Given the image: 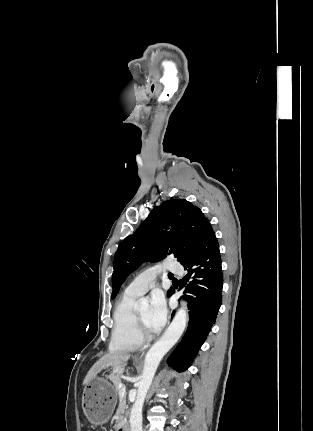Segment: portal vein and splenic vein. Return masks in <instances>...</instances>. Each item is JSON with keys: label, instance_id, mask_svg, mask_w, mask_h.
<instances>
[{"label": "portal vein and splenic vein", "instance_id": "obj_1", "mask_svg": "<svg viewBox=\"0 0 313 431\" xmlns=\"http://www.w3.org/2000/svg\"><path fill=\"white\" fill-rule=\"evenodd\" d=\"M118 388L120 389L119 394H120V395H125V393H126V386H125L124 384L120 383V384L118 385Z\"/></svg>", "mask_w": 313, "mask_h": 431}]
</instances>
